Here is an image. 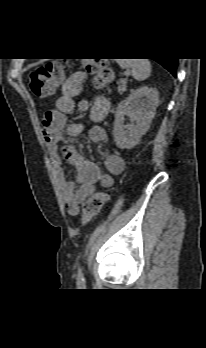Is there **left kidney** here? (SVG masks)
Here are the masks:
<instances>
[{"label": "left kidney", "instance_id": "left-kidney-1", "mask_svg": "<svg viewBox=\"0 0 206 348\" xmlns=\"http://www.w3.org/2000/svg\"><path fill=\"white\" fill-rule=\"evenodd\" d=\"M159 103V94L155 88L142 86L135 89L117 107L113 137L120 149H131L150 128ZM125 116H129L130 125H125ZM135 122V123H134Z\"/></svg>", "mask_w": 206, "mask_h": 348}]
</instances>
